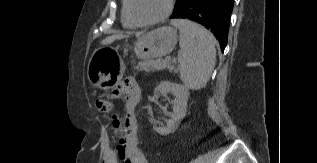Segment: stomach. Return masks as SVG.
Instances as JSON below:
<instances>
[{"label": "stomach", "instance_id": "1", "mask_svg": "<svg viewBox=\"0 0 317 163\" xmlns=\"http://www.w3.org/2000/svg\"><path fill=\"white\" fill-rule=\"evenodd\" d=\"M177 43V31L170 26L157 28L140 37L134 46L138 58L154 59L169 54ZM105 48H99L92 54L87 75L95 87L106 89L122 76V64L118 72L113 71L112 64L104 57Z\"/></svg>", "mask_w": 317, "mask_h": 163}]
</instances>
